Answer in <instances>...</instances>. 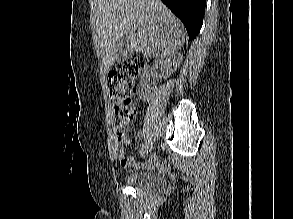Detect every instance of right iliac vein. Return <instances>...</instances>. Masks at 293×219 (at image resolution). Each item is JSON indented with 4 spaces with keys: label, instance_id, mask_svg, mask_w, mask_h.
Wrapping results in <instances>:
<instances>
[{
    "label": "right iliac vein",
    "instance_id": "right-iliac-vein-1",
    "mask_svg": "<svg viewBox=\"0 0 293 219\" xmlns=\"http://www.w3.org/2000/svg\"><path fill=\"white\" fill-rule=\"evenodd\" d=\"M153 147V143L152 142H148L142 149L140 152L141 157H145L152 149Z\"/></svg>",
    "mask_w": 293,
    "mask_h": 219
}]
</instances>
